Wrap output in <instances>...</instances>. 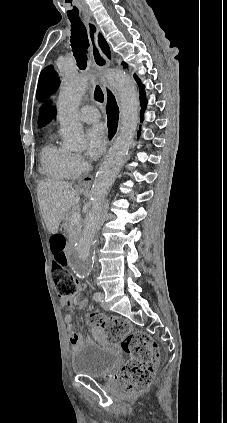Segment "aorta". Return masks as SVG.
Segmentation results:
<instances>
[{"mask_svg": "<svg viewBox=\"0 0 227 423\" xmlns=\"http://www.w3.org/2000/svg\"><path fill=\"white\" fill-rule=\"evenodd\" d=\"M109 83L118 91L122 114L120 133L99 168L92 187V207L83 233L72 247L69 266L79 278H85L94 263L93 244L100 228L105 196L114 183L133 142L139 116V98L133 80L123 71L109 70ZM88 84L86 75L67 76L60 88L57 108L64 146L78 150L84 146L83 126L78 108Z\"/></svg>", "mask_w": 227, "mask_h": 423, "instance_id": "1", "label": "aorta"}]
</instances>
